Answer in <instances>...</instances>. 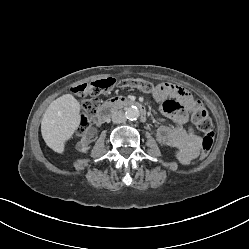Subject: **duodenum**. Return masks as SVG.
I'll list each match as a JSON object with an SVG mask.
<instances>
[{
    "mask_svg": "<svg viewBox=\"0 0 249 249\" xmlns=\"http://www.w3.org/2000/svg\"><path fill=\"white\" fill-rule=\"evenodd\" d=\"M124 106L136 107L141 114V120L143 122L146 121V111L143 105L138 101L125 99V98L111 99L107 104L102 106L98 114V120L101 122L106 121L107 119H109L114 109Z\"/></svg>",
    "mask_w": 249,
    "mask_h": 249,
    "instance_id": "obj_1",
    "label": "duodenum"
}]
</instances>
